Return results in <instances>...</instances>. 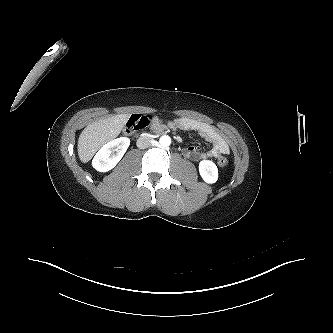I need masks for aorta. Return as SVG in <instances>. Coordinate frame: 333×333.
<instances>
[{
    "label": "aorta",
    "instance_id": "obj_1",
    "mask_svg": "<svg viewBox=\"0 0 333 333\" xmlns=\"http://www.w3.org/2000/svg\"><path fill=\"white\" fill-rule=\"evenodd\" d=\"M159 143L163 147H168L171 144V138L169 136H166V135L161 136L160 140H159Z\"/></svg>",
    "mask_w": 333,
    "mask_h": 333
}]
</instances>
